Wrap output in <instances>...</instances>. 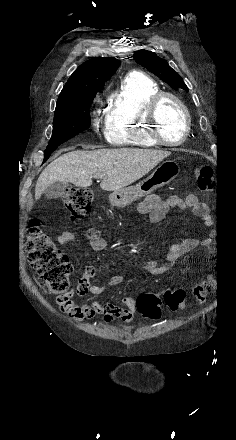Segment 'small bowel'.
Returning a JSON list of instances; mask_svg holds the SVG:
<instances>
[{
	"label": "small bowel",
	"instance_id": "c3829d8e",
	"mask_svg": "<svg viewBox=\"0 0 236 440\" xmlns=\"http://www.w3.org/2000/svg\"><path fill=\"white\" fill-rule=\"evenodd\" d=\"M170 208L186 209L190 208L194 214L199 217L205 226L211 228L213 222L208 213L207 205L200 202L196 195L189 194L180 197L173 195L167 200H162L156 194L146 196L138 205V212L145 216L148 224H156L161 222L167 215ZM58 242L61 245H78L80 238L72 231H64L58 237ZM90 248L94 252H102L107 247V242L102 237H92L89 241ZM199 245H208V240L200 242L196 238H184L180 242L171 246L165 259L153 262L149 265V271L154 274H163L173 267L184 255L197 248ZM96 274L94 267L85 269L82 277L79 279L76 286L75 294L79 297L90 295H100L110 287L116 286L123 281L121 274H113L101 285H96L91 282ZM124 307H120L111 303H101L100 301H93L87 303H75L72 299L70 303L62 307V310L71 317L84 320L94 318L97 315L101 316L104 324H110L114 320H119L128 323L132 320L134 314L137 312L136 299L131 296L122 298Z\"/></svg>",
	"mask_w": 236,
	"mask_h": 440
}]
</instances>
